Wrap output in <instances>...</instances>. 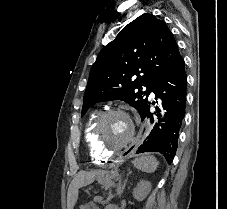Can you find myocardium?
I'll return each mask as SVG.
<instances>
[{
    "label": "myocardium",
    "instance_id": "f54148a6",
    "mask_svg": "<svg viewBox=\"0 0 227 209\" xmlns=\"http://www.w3.org/2000/svg\"><path fill=\"white\" fill-rule=\"evenodd\" d=\"M114 115H122L128 120L130 127H131V133H130L129 138L125 142H123L122 144L117 145L115 147L109 148L103 142V140L101 138V132H102V128H103V125L106 122V120ZM135 135H136V129H135V126H134L131 118L125 111L118 109V108H112V109H108V110L102 112L98 116V118L95 122V125H94V129H93V138H94V143H95L96 147L99 149V151L102 154H105L108 156H113V155L119 153L120 151H122L123 149H125L135 138Z\"/></svg>",
    "mask_w": 227,
    "mask_h": 209
}]
</instances>
